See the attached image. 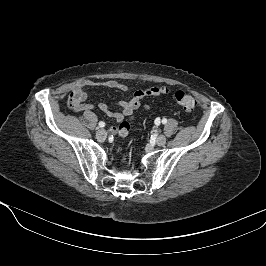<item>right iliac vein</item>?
I'll use <instances>...</instances> for the list:
<instances>
[{
    "mask_svg": "<svg viewBox=\"0 0 266 266\" xmlns=\"http://www.w3.org/2000/svg\"><path fill=\"white\" fill-rule=\"evenodd\" d=\"M107 136V133L104 129H98L97 132H96V137L99 139V140H104Z\"/></svg>",
    "mask_w": 266,
    "mask_h": 266,
    "instance_id": "1",
    "label": "right iliac vein"
}]
</instances>
